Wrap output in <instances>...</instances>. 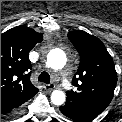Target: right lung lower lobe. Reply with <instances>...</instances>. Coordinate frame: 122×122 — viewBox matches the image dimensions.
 Wrapping results in <instances>:
<instances>
[{"instance_id":"98d812e1","label":"right lung lower lobe","mask_w":122,"mask_h":122,"mask_svg":"<svg viewBox=\"0 0 122 122\" xmlns=\"http://www.w3.org/2000/svg\"><path fill=\"white\" fill-rule=\"evenodd\" d=\"M22 104L10 99L1 101V117L16 115Z\"/></svg>"}]
</instances>
